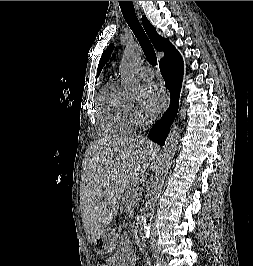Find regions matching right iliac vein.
Returning a JSON list of instances; mask_svg holds the SVG:
<instances>
[{
	"label": "right iliac vein",
	"mask_w": 253,
	"mask_h": 266,
	"mask_svg": "<svg viewBox=\"0 0 253 266\" xmlns=\"http://www.w3.org/2000/svg\"><path fill=\"white\" fill-rule=\"evenodd\" d=\"M156 261L159 264V266H167L166 262L162 256H157Z\"/></svg>",
	"instance_id": "63e3f726"
}]
</instances>
